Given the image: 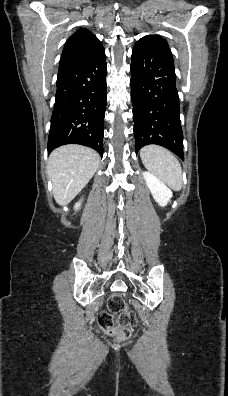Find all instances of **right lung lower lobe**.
Returning <instances> with one entry per match:
<instances>
[{"label": "right lung lower lobe", "mask_w": 228, "mask_h": 396, "mask_svg": "<svg viewBox=\"0 0 228 396\" xmlns=\"http://www.w3.org/2000/svg\"><path fill=\"white\" fill-rule=\"evenodd\" d=\"M48 153L80 144L103 156L106 109V60L103 46L59 65Z\"/></svg>", "instance_id": "right-lung-lower-lobe-1"}]
</instances>
